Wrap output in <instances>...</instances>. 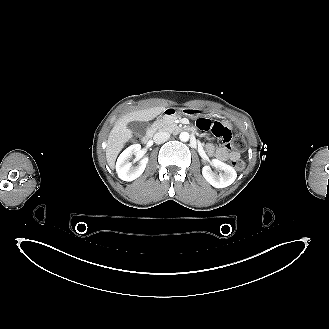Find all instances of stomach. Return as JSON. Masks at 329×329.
Returning <instances> with one entry per match:
<instances>
[{"mask_svg":"<svg viewBox=\"0 0 329 329\" xmlns=\"http://www.w3.org/2000/svg\"><path fill=\"white\" fill-rule=\"evenodd\" d=\"M169 109L170 111L167 112L166 117H173L180 114H184L191 118H195L196 115L200 114V110H197L195 108H181V109L169 108Z\"/></svg>","mask_w":329,"mask_h":329,"instance_id":"obj_1","label":"stomach"}]
</instances>
